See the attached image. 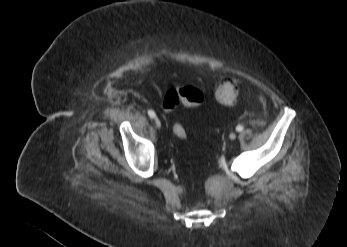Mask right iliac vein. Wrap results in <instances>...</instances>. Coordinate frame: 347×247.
<instances>
[{"instance_id": "right-iliac-vein-1", "label": "right iliac vein", "mask_w": 347, "mask_h": 247, "mask_svg": "<svg viewBox=\"0 0 347 247\" xmlns=\"http://www.w3.org/2000/svg\"><path fill=\"white\" fill-rule=\"evenodd\" d=\"M154 124L157 128H161V121L158 118H155Z\"/></svg>"}]
</instances>
